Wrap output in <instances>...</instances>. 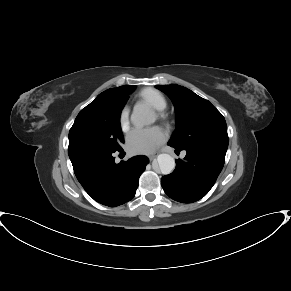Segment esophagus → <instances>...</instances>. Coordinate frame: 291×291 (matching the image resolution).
I'll use <instances>...</instances> for the list:
<instances>
[{"label":"esophagus","mask_w":291,"mask_h":291,"mask_svg":"<svg viewBox=\"0 0 291 291\" xmlns=\"http://www.w3.org/2000/svg\"><path fill=\"white\" fill-rule=\"evenodd\" d=\"M157 153H154V154H152V155H149L148 156V158L150 159V160H153L154 158H156L157 157Z\"/></svg>","instance_id":"34e87169"}]
</instances>
